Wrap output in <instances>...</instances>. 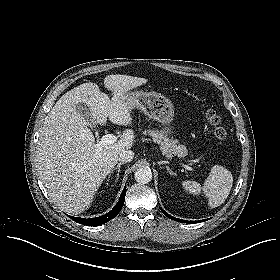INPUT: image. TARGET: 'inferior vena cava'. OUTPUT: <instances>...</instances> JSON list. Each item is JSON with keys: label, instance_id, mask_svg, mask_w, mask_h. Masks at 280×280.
I'll use <instances>...</instances> for the list:
<instances>
[{"label": "inferior vena cava", "instance_id": "1", "mask_svg": "<svg viewBox=\"0 0 280 280\" xmlns=\"http://www.w3.org/2000/svg\"><path fill=\"white\" fill-rule=\"evenodd\" d=\"M134 153L131 150H123L119 154V160L123 163L132 161Z\"/></svg>", "mask_w": 280, "mask_h": 280}]
</instances>
